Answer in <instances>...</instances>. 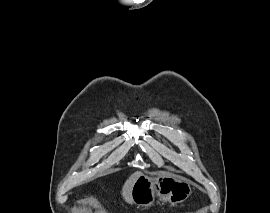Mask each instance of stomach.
Segmentation results:
<instances>
[{
	"instance_id": "0dacf381",
	"label": "stomach",
	"mask_w": 270,
	"mask_h": 213,
	"mask_svg": "<svg viewBox=\"0 0 270 213\" xmlns=\"http://www.w3.org/2000/svg\"><path fill=\"white\" fill-rule=\"evenodd\" d=\"M191 194L188 180L165 172L140 175L132 188V201L140 208H149L156 197L174 205L184 202Z\"/></svg>"
}]
</instances>
